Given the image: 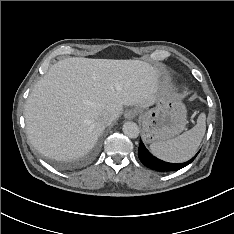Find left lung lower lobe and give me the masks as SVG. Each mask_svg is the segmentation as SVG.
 I'll list each match as a JSON object with an SVG mask.
<instances>
[{
  "mask_svg": "<svg viewBox=\"0 0 234 234\" xmlns=\"http://www.w3.org/2000/svg\"><path fill=\"white\" fill-rule=\"evenodd\" d=\"M197 154L187 162L176 164V163H168V162L162 161V160L156 158L155 156H153L146 149V147L144 146V144L142 143L141 140H140V145L138 148V157L141 160V162L146 167L153 169V170L161 171V172L179 170V169L187 166L188 164H190L195 159Z\"/></svg>",
  "mask_w": 234,
  "mask_h": 234,
  "instance_id": "0a47b994",
  "label": "left lung lower lobe"
}]
</instances>
